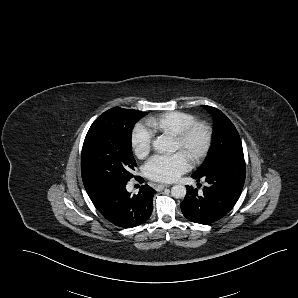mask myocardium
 <instances>
[{
    "mask_svg": "<svg viewBox=\"0 0 298 298\" xmlns=\"http://www.w3.org/2000/svg\"><path fill=\"white\" fill-rule=\"evenodd\" d=\"M194 133L199 134L198 146L187 160L189 164H193L203 155L209 143V128L204 122L195 121L179 127L164 136L163 139L181 142Z\"/></svg>",
    "mask_w": 298,
    "mask_h": 298,
    "instance_id": "f54148a6",
    "label": "myocardium"
}]
</instances>
